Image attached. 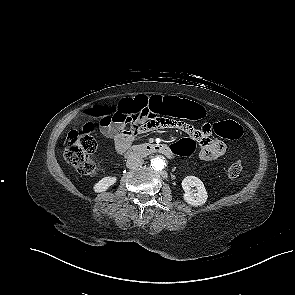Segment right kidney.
I'll list each match as a JSON object with an SVG mask.
<instances>
[{
    "label": "right kidney",
    "mask_w": 295,
    "mask_h": 295,
    "mask_svg": "<svg viewBox=\"0 0 295 295\" xmlns=\"http://www.w3.org/2000/svg\"><path fill=\"white\" fill-rule=\"evenodd\" d=\"M116 181H117V178L115 176L104 177L94 185L93 190L97 193L104 192L110 186L114 185Z\"/></svg>",
    "instance_id": "right-kidney-1"
}]
</instances>
